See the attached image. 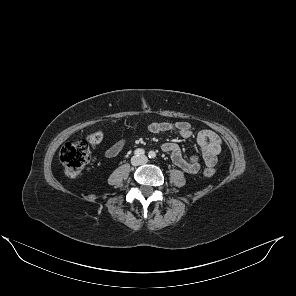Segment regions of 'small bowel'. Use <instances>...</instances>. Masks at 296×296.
<instances>
[{
    "label": "small bowel",
    "mask_w": 296,
    "mask_h": 296,
    "mask_svg": "<svg viewBox=\"0 0 296 296\" xmlns=\"http://www.w3.org/2000/svg\"><path fill=\"white\" fill-rule=\"evenodd\" d=\"M149 130L152 133L175 131L183 138H189L193 134L191 125L187 121H178L176 123L154 122L149 125ZM196 141L205 165L214 166L217 162V156L221 152L220 137L214 131L204 129L198 132ZM125 144V139L114 142L106 149L104 156L108 159L116 157L121 153ZM162 151L169 154L172 162L187 173L195 174L201 168L199 157L193 155L190 158H185L182 155L180 147L175 142L170 141L164 143L162 145Z\"/></svg>",
    "instance_id": "small-bowel-1"
}]
</instances>
